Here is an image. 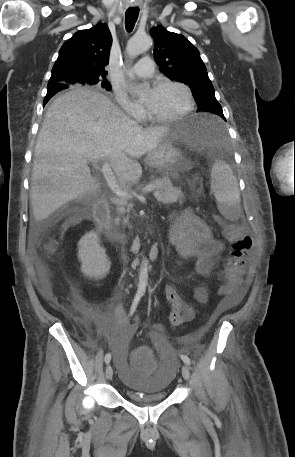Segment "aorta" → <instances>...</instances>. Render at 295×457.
Listing matches in <instances>:
<instances>
[{
    "label": "aorta",
    "mask_w": 295,
    "mask_h": 457,
    "mask_svg": "<svg viewBox=\"0 0 295 457\" xmlns=\"http://www.w3.org/2000/svg\"><path fill=\"white\" fill-rule=\"evenodd\" d=\"M151 38L147 34H135L127 43L126 52L131 58H135L151 47ZM148 282V264L146 260L142 261L139 273V282L137 292L144 294Z\"/></svg>",
    "instance_id": "aorta-1"
}]
</instances>
